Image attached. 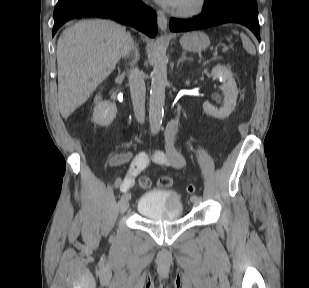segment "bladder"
<instances>
[{
  "instance_id": "bladder-1",
  "label": "bladder",
  "mask_w": 309,
  "mask_h": 288,
  "mask_svg": "<svg viewBox=\"0 0 309 288\" xmlns=\"http://www.w3.org/2000/svg\"><path fill=\"white\" fill-rule=\"evenodd\" d=\"M182 211V199L174 190L156 189L145 192L137 204L140 216L149 219H175Z\"/></svg>"
}]
</instances>
